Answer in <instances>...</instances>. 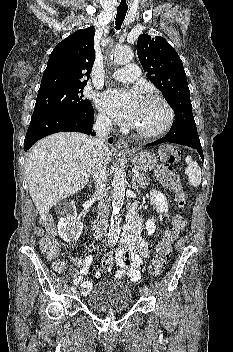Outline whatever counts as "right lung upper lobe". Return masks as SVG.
I'll list each match as a JSON object with an SVG mask.
<instances>
[{"label":"right lung upper lobe","instance_id":"1","mask_svg":"<svg viewBox=\"0 0 233 352\" xmlns=\"http://www.w3.org/2000/svg\"><path fill=\"white\" fill-rule=\"evenodd\" d=\"M95 28L81 29L61 41L50 54L40 87L86 85L95 60Z\"/></svg>","mask_w":233,"mask_h":352}]
</instances>
